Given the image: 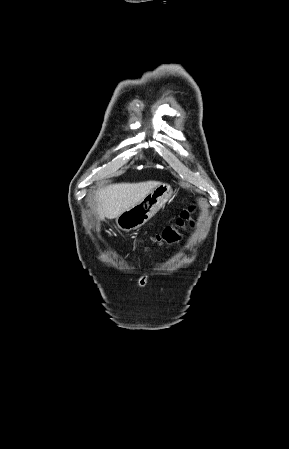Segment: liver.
Segmentation results:
<instances>
[{"instance_id":"6515ba94","label":"liver","mask_w":289,"mask_h":449,"mask_svg":"<svg viewBox=\"0 0 289 449\" xmlns=\"http://www.w3.org/2000/svg\"><path fill=\"white\" fill-rule=\"evenodd\" d=\"M158 184L156 181L120 183L97 190L94 200L99 218H117L125 210L139 203Z\"/></svg>"}]
</instances>
